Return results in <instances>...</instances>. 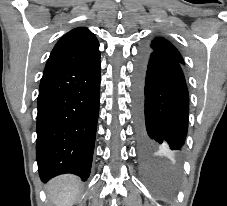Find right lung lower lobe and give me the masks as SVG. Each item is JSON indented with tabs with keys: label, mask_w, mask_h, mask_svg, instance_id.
Here are the masks:
<instances>
[{
	"label": "right lung lower lobe",
	"mask_w": 227,
	"mask_h": 206,
	"mask_svg": "<svg viewBox=\"0 0 227 206\" xmlns=\"http://www.w3.org/2000/svg\"><path fill=\"white\" fill-rule=\"evenodd\" d=\"M100 57L43 75L38 96L36 154L40 178L90 175L99 113Z\"/></svg>",
	"instance_id": "98d812e1"
}]
</instances>
